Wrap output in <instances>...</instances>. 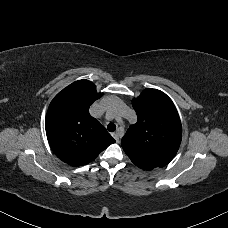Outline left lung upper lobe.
Listing matches in <instances>:
<instances>
[{
	"instance_id": "left-lung-upper-lobe-1",
	"label": "left lung upper lobe",
	"mask_w": 228,
	"mask_h": 228,
	"mask_svg": "<svg viewBox=\"0 0 228 228\" xmlns=\"http://www.w3.org/2000/svg\"><path fill=\"white\" fill-rule=\"evenodd\" d=\"M137 123L121 140L131 161L141 169L167 165L176 155L182 138V126L172 100L162 91L145 89L133 99Z\"/></svg>"
}]
</instances>
